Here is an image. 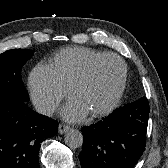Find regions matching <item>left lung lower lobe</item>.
<instances>
[{"mask_svg": "<svg viewBox=\"0 0 168 168\" xmlns=\"http://www.w3.org/2000/svg\"><path fill=\"white\" fill-rule=\"evenodd\" d=\"M149 104L135 101L83 127L82 168H133L146 146Z\"/></svg>", "mask_w": 168, "mask_h": 168, "instance_id": "left-lung-lower-lobe-1", "label": "left lung lower lobe"}]
</instances>
